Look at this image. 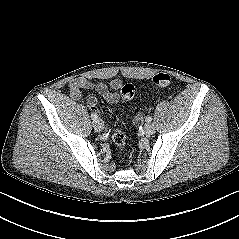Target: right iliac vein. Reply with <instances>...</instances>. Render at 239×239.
<instances>
[{
	"label": "right iliac vein",
	"mask_w": 239,
	"mask_h": 239,
	"mask_svg": "<svg viewBox=\"0 0 239 239\" xmlns=\"http://www.w3.org/2000/svg\"><path fill=\"white\" fill-rule=\"evenodd\" d=\"M93 127L97 132H102L104 129V122L101 119L94 120Z\"/></svg>",
	"instance_id": "63e3f726"
}]
</instances>
